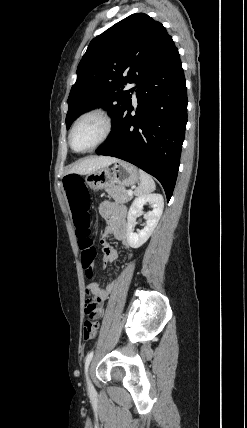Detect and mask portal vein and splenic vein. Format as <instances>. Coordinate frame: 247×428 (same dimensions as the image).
<instances>
[{
  "label": "portal vein and splenic vein",
  "instance_id": "obj_1",
  "mask_svg": "<svg viewBox=\"0 0 247 428\" xmlns=\"http://www.w3.org/2000/svg\"><path fill=\"white\" fill-rule=\"evenodd\" d=\"M128 195L132 196L133 195V191L132 190H128Z\"/></svg>",
  "mask_w": 247,
  "mask_h": 428
}]
</instances>
